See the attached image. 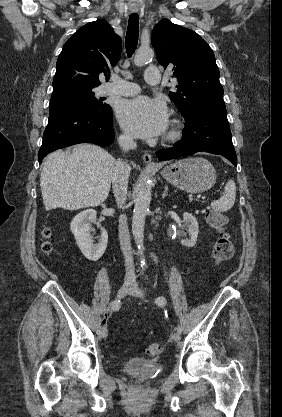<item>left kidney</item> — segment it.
<instances>
[{"label": "left kidney", "instance_id": "obj_1", "mask_svg": "<svg viewBox=\"0 0 282 417\" xmlns=\"http://www.w3.org/2000/svg\"><path fill=\"white\" fill-rule=\"evenodd\" d=\"M183 223L186 229H188L190 239H181V245H184V247H195L199 233V225L192 213H183Z\"/></svg>", "mask_w": 282, "mask_h": 417}]
</instances>
